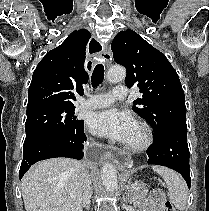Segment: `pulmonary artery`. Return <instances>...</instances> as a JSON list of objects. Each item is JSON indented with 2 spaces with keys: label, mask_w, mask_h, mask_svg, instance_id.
Segmentation results:
<instances>
[{
  "label": "pulmonary artery",
  "mask_w": 209,
  "mask_h": 211,
  "mask_svg": "<svg viewBox=\"0 0 209 211\" xmlns=\"http://www.w3.org/2000/svg\"><path fill=\"white\" fill-rule=\"evenodd\" d=\"M128 96L126 86H115L111 93H101L90 96L87 99H82L78 106L81 110L98 109L111 105L116 100L125 99Z\"/></svg>",
  "instance_id": "obj_1"
}]
</instances>
